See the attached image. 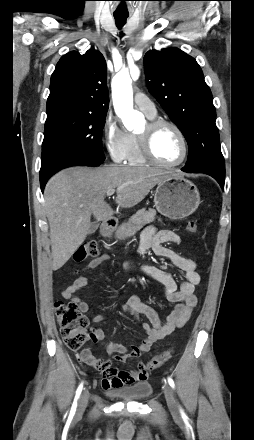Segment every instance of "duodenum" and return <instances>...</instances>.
I'll return each instance as SVG.
<instances>
[{
  "instance_id": "obj_1",
  "label": "duodenum",
  "mask_w": 254,
  "mask_h": 440,
  "mask_svg": "<svg viewBox=\"0 0 254 440\" xmlns=\"http://www.w3.org/2000/svg\"><path fill=\"white\" fill-rule=\"evenodd\" d=\"M117 226L115 217H109L102 226L101 233L103 236H108Z\"/></svg>"
}]
</instances>
